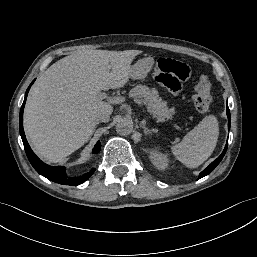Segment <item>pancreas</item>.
I'll use <instances>...</instances> for the list:
<instances>
[{
	"label": "pancreas",
	"instance_id": "obj_1",
	"mask_svg": "<svg viewBox=\"0 0 257 257\" xmlns=\"http://www.w3.org/2000/svg\"><path fill=\"white\" fill-rule=\"evenodd\" d=\"M129 96L135 101L141 100L158 121H165V119L171 118L174 113L173 109H168L167 103L161 99L157 90L149 89L145 85H137L131 89Z\"/></svg>",
	"mask_w": 257,
	"mask_h": 257
}]
</instances>
